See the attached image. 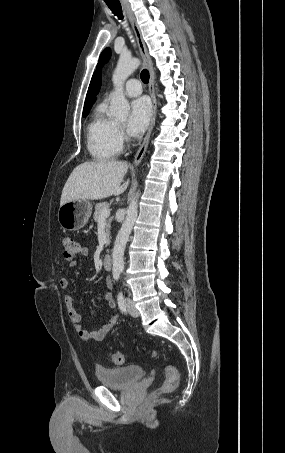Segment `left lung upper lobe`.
<instances>
[{"mask_svg": "<svg viewBox=\"0 0 285 453\" xmlns=\"http://www.w3.org/2000/svg\"><path fill=\"white\" fill-rule=\"evenodd\" d=\"M110 49L106 48L100 55L98 67L104 65L110 58Z\"/></svg>", "mask_w": 285, "mask_h": 453, "instance_id": "left-lung-upper-lobe-1", "label": "left lung upper lobe"}]
</instances>
